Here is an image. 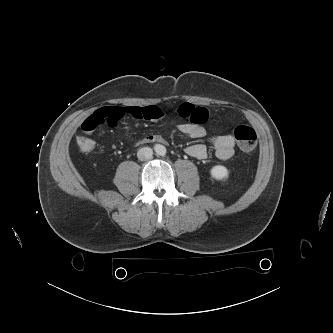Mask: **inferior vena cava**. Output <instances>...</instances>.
Wrapping results in <instances>:
<instances>
[{
    "label": "inferior vena cava",
    "mask_w": 333,
    "mask_h": 333,
    "mask_svg": "<svg viewBox=\"0 0 333 333\" xmlns=\"http://www.w3.org/2000/svg\"><path fill=\"white\" fill-rule=\"evenodd\" d=\"M152 156H153V150L149 147L141 148L137 153V157L141 161H147L151 159Z\"/></svg>",
    "instance_id": "inferior-vena-cava-1"
}]
</instances>
